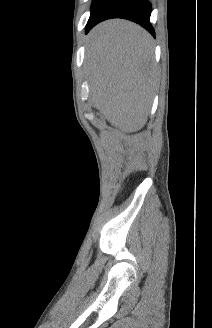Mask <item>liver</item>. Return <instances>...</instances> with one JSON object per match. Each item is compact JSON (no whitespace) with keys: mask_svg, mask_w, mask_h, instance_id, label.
<instances>
[{"mask_svg":"<svg viewBox=\"0 0 212 328\" xmlns=\"http://www.w3.org/2000/svg\"><path fill=\"white\" fill-rule=\"evenodd\" d=\"M151 36L120 19L97 25L88 36L86 59L94 106L123 132L142 129L156 86Z\"/></svg>","mask_w":212,"mask_h":328,"instance_id":"1","label":"liver"}]
</instances>
